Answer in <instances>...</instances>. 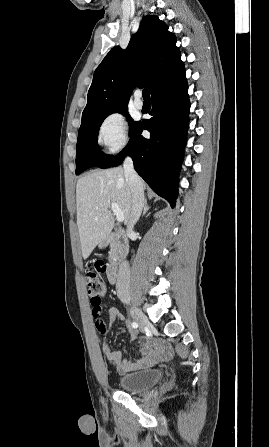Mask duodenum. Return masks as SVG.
<instances>
[{"label": "duodenum", "instance_id": "obj_1", "mask_svg": "<svg viewBox=\"0 0 269 447\" xmlns=\"http://www.w3.org/2000/svg\"><path fill=\"white\" fill-rule=\"evenodd\" d=\"M110 238L114 241L116 250L118 253V260L116 263L111 264L107 269V277L110 283H116L119 277V271L125 255L128 250V242L121 231H114L111 233Z\"/></svg>", "mask_w": 269, "mask_h": 447}]
</instances>
